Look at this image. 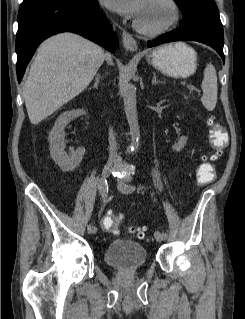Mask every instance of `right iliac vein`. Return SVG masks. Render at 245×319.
I'll return each mask as SVG.
<instances>
[{
    "label": "right iliac vein",
    "instance_id": "1",
    "mask_svg": "<svg viewBox=\"0 0 245 319\" xmlns=\"http://www.w3.org/2000/svg\"><path fill=\"white\" fill-rule=\"evenodd\" d=\"M112 169H113V164L108 163V164L105 165V167H104V169L102 171V177H101V179L99 181V187L101 186V182L109 176V174H110ZM100 192H101V190H100ZM87 232H88V234L93 233L91 224H89L87 226Z\"/></svg>",
    "mask_w": 245,
    "mask_h": 319
}]
</instances>
